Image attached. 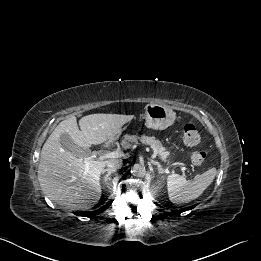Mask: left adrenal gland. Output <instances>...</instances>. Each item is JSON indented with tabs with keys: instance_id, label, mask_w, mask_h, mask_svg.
I'll list each match as a JSON object with an SVG mask.
<instances>
[{
	"instance_id": "left-adrenal-gland-1",
	"label": "left adrenal gland",
	"mask_w": 261,
	"mask_h": 261,
	"mask_svg": "<svg viewBox=\"0 0 261 261\" xmlns=\"http://www.w3.org/2000/svg\"><path fill=\"white\" fill-rule=\"evenodd\" d=\"M150 163H152L153 165H156L157 166V169H158V173L159 174H163L164 170L161 166V164L153 159H150Z\"/></svg>"
}]
</instances>
